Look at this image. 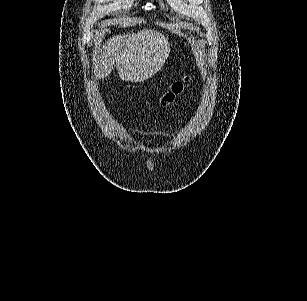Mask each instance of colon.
<instances>
[{
    "label": "colon",
    "mask_w": 307,
    "mask_h": 301,
    "mask_svg": "<svg viewBox=\"0 0 307 301\" xmlns=\"http://www.w3.org/2000/svg\"><path fill=\"white\" fill-rule=\"evenodd\" d=\"M184 86V81H176L172 84L170 89L163 95L162 102L164 104L171 103L174 98L181 93Z\"/></svg>",
    "instance_id": "obj_1"
}]
</instances>
